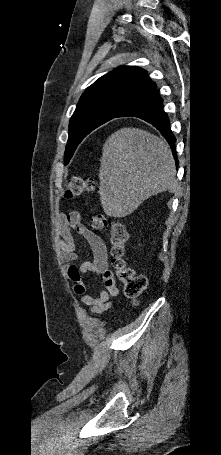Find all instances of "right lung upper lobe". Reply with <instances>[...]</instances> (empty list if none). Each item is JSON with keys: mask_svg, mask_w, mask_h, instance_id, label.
Returning <instances> with one entry per match:
<instances>
[{"mask_svg": "<svg viewBox=\"0 0 221 455\" xmlns=\"http://www.w3.org/2000/svg\"><path fill=\"white\" fill-rule=\"evenodd\" d=\"M156 89L147 72L136 66H123L107 73L82 94L78 107L106 103L124 110L141 101Z\"/></svg>", "mask_w": 221, "mask_h": 455, "instance_id": "right-lung-upper-lobe-1", "label": "right lung upper lobe"}]
</instances>
